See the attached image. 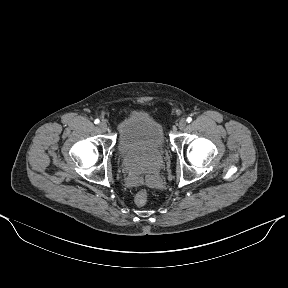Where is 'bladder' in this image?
<instances>
[{
  "instance_id": "1",
  "label": "bladder",
  "mask_w": 288,
  "mask_h": 288,
  "mask_svg": "<svg viewBox=\"0 0 288 288\" xmlns=\"http://www.w3.org/2000/svg\"><path fill=\"white\" fill-rule=\"evenodd\" d=\"M117 149L121 158L135 168L156 167L166 150L162 126L147 113H135L118 128Z\"/></svg>"
}]
</instances>
